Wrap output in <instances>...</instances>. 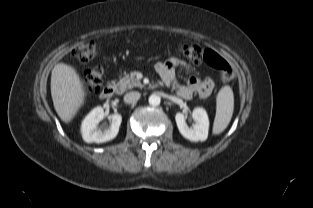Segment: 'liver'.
Returning a JSON list of instances; mask_svg holds the SVG:
<instances>
[{"mask_svg": "<svg viewBox=\"0 0 313 208\" xmlns=\"http://www.w3.org/2000/svg\"><path fill=\"white\" fill-rule=\"evenodd\" d=\"M84 84L70 65L58 63L51 73V96L60 119L68 123L76 115L85 99Z\"/></svg>", "mask_w": 313, "mask_h": 208, "instance_id": "liver-1", "label": "liver"}]
</instances>
